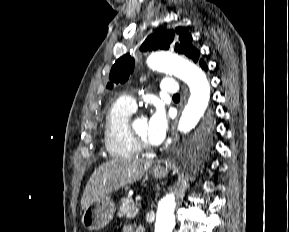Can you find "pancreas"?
<instances>
[{"instance_id": "obj_1", "label": "pancreas", "mask_w": 289, "mask_h": 232, "mask_svg": "<svg viewBox=\"0 0 289 232\" xmlns=\"http://www.w3.org/2000/svg\"><path fill=\"white\" fill-rule=\"evenodd\" d=\"M139 208L137 204L133 201L132 197L127 196L122 198L120 208L118 211L119 217L126 216L128 219H133L137 216Z\"/></svg>"}]
</instances>
